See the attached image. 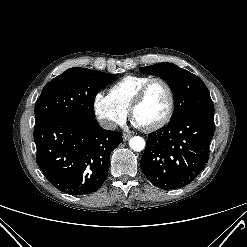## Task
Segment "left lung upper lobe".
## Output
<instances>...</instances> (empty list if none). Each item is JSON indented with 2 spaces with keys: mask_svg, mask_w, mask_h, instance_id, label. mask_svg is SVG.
Returning <instances> with one entry per match:
<instances>
[{
  "mask_svg": "<svg viewBox=\"0 0 247 247\" xmlns=\"http://www.w3.org/2000/svg\"><path fill=\"white\" fill-rule=\"evenodd\" d=\"M140 71L157 75L168 83L174 97L171 121L193 113L214 115V106L207 87L191 72L172 63L154 64L142 67Z\"/></svg>",
  "mask_w": 247,
  "mask_h": 247,
  "instance_id": "5c2ea615",
  "label": "left lung upper lobe"
}]
</instances>
